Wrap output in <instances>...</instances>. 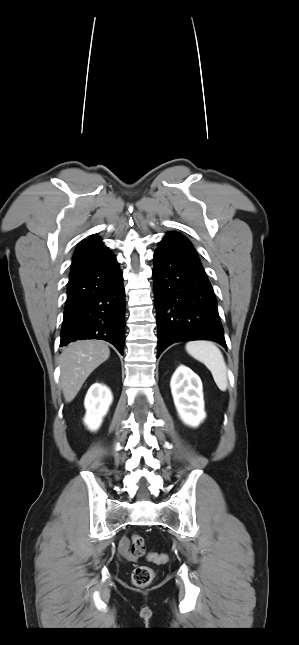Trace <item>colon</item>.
Instances as JSON below:
<instances>
[{"label":"colon","mask_w":299,"mask_h":645,"mask_svg":"<svg viewBox=\"0 0 299 645\" xmlns=\"http://www.w3.org/2000/svg\"><path fill=\"white\" fill-rule=\"evenodd\" d=\"M132 555L141 557L145 554V541L140 535L134 534L131 537ZM148 559L155 563H165L167 555L163 553H150ZM154 578V571L147 566L136 567L131 575L132 583L137 587L148 586Z\"/></svg>","instance_id":"obj_1"}]
</instances>
